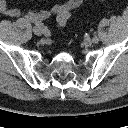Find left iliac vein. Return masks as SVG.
Listing matches in <instances>:
<instances>
[{"label": "left iliac vein", "mask_w": 128, "mask_h": 128, "mask_svg": "<svg viewBox=\"0 0 128 128\" xmlns=\"http://www.w3.org/2000/svg\"><path fill=\"white\" fill-rule=\"evenodd\" d=\"M92 43H94V42H93V40H91V39H86V40H85V44H86L87 46H91Z\"/></svg>", "instance_id": "obj_1"}]
</instances>
